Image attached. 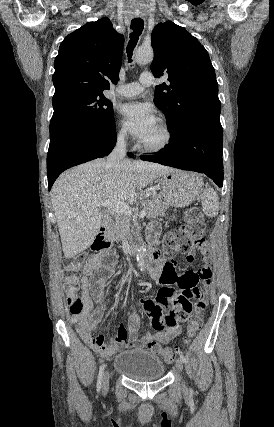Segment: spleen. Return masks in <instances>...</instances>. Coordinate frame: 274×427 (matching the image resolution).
Segmentation results:
<instances>
[{"label":"spleen","instance_id":"1","mask_svg":"<svg viewBox=\"0 0 274 427\" xmlns=\"http://www.w3.org/2000/svg\"><path fill=\"white\" fill-rule=\"evenodd\" d=\"M203 182L201 178L197 180V190L195 192L196 196L201 192V204L204 214L209 215V217H215L219 212V198L217 192L213 188H205L202 190Z\"/></svg>","mask_w":274,"mask_h":427}]
</instances>
